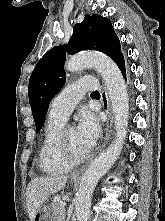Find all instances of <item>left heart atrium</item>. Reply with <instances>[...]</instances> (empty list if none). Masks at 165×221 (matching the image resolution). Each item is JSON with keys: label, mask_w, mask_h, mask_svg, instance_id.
<instances>
[{"label": "left heart atrium", "mask_w": 165, "mask_h": 221, "mask_svg": "<svg viewBox=\"0 0 165 221\" xmlns=\"http://www.w3.org/2000/svg\"><path fill=\"white\" fill-rule=\"evenodd\" d=\"M77 134L81 142L90 150L100 135L97 118L89 111H83L78 120Z\"/></svg>", "instance_id": "obj_1"}]
</instances>
